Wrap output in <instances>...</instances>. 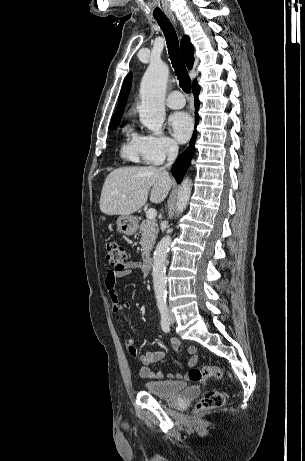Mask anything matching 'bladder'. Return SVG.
Listing matches in <instances>:
<instances>
[{
	"label": "bladder",
	"instance_id": "obj_1",
	"mask_svg": "<svg viewBox=\"0 0 305 461\" xmlns=\"http://www.w3.org/2000/svg\"><path fill=\"white\" fill-rule=\"evenodd\" d=\"M144 390L152 395L171 398L188 388L185 381L177 380H146L143 382Z\"/></svg>",
	"mask_w": 305,
	"mask_h": 461
}]
</instances>
